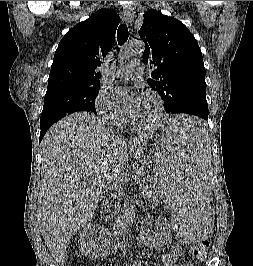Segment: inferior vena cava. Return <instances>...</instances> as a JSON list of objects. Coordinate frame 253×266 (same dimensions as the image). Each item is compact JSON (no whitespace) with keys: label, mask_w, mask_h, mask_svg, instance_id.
<instances>
[{"label":"inferior vena cava","mask_w":253,"mask_h":266,"mask_svg":"<svg viewBox=\"0 0 253 266\" xmlns=\"http://www.w3.org/2000/svg\"><path fill=\"white\" fill-rule=\"evenodd\" d=\"M112 135H114L115 133H119V132H115L114 129L111 127L110 130H108Z\"/></svg>","instance_id":"obj_1"}]
</instances>
